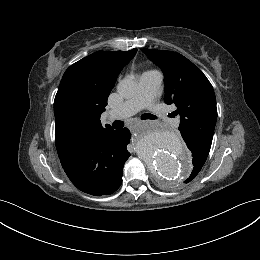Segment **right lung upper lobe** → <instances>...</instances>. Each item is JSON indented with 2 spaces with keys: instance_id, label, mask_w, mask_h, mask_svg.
<instances>
[{
  "instance_id": "1",
  "label": "right lung upper lobe",
  "mask_w": 260,
  "mask_h": 260,
  "mask_svg": "<svg viewBox=\"0 0 260 260\" xmlns=\"http://www.w3.org/2000/svg\"><path fill=\"white\" fill-rule=\"evenodd\" d=\"M136 52L97 51L67 68L54 100L59 158L86 139L112 130L102 126L100 116L118 74Z\"/></svg>"
}]
</instances>
